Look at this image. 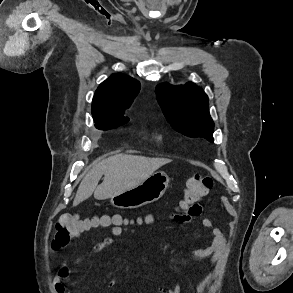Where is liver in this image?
Here are the masks:
<instances>
[{"label": "liver", "instance_id": "6515ba94", "mask_svg": "<svg viewBox=\"0 0 293 293\" xmlns=\"http://www.w3.org/2000/svg\"><path fill=\"white\" fill-rule=\"evenodd\" d=\"M169 159L147 158L118 154L99 161L86 171L81 181L73 206L88 199L93 193L97 200H105L138 186ZM104 175L102 184L99 180Z\"/></svg>", "mask_w": 293, "mask_h": 293}]
</instances>
